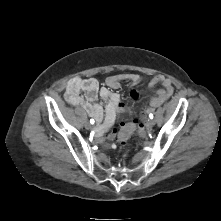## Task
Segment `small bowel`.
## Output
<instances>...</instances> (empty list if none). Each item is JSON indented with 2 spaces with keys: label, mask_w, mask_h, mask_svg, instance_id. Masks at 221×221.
I'll use <instances>...</instances> for the list:
<instances>
[{
  "label": "small bowel",
  "mask_w": 221,
  "mask_h": 221,
  "mask_svg": "<svg viewBox=\"0 0 221 221\" xmlns=\"http://www.w3.org/2000/svg\"><path fill=\"white\" fill-rule=\"evenodd\" d=\"M142 80L143 78L138 74H118L108 77L106 86L100 87L95 78L74 77L67 83L65 98L69 104L81 106L90 117L97 121L95 135L98 138H106L111 141L116 138L118 133L111 130L118 116L124 111H130L122 103L120 95L114 89H118L123 81L136 86ZM157 85H160L161 88L156 90L155 96L151 100L152 108L161 105L174 91L172 81L162 75H155L150 78L149 87L154 88ZM98 97L105 103V110L101 104L96 102ZM131 97L133 101H142L145 99V94L132 91Z\"/></svg>",
  "instance_id": "obj_1"
}]
</instances>
